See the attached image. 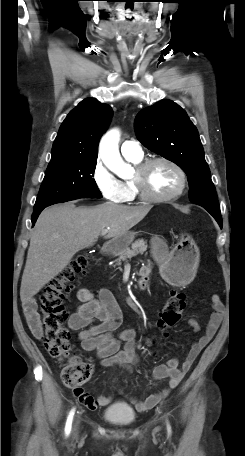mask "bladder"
<instances>
[{"label": "bladder", "instance_id": "bladder-1", "mask_svg": "<svg viewBox=\"0 0 245 456\" xmlns=\"http://www.w3.org/2000/svg\"><path fill=\"white\" fill-rule=\"evenodd\" d=\"M103 415L107 421L118 425H129L135 419L134 410L123 402L108 406Z\"/></svg>", "mask_w": 245, "mask_h": 456}]
</instances>
